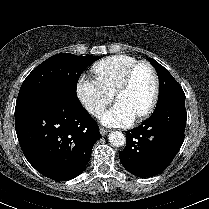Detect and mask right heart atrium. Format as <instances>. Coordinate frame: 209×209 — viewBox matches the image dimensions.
I'll list each match as a JSON object with an SVG mask.
<instances>
[{
    "instance_id": "obj_1",
    "label": "right heart atrium",
    "mask_w": 209,
    "mask_h": 209,
    "mask_svg": "<svg viewBox=\"0 0 209 209\" xmlns=\"http://www.w3.org/2000/svg\"><path fill=\"white\" fill-rule=\"evenodd\" d=\"M77 94L87 111L98 116L113 99L108 90L97 78L81 75L77 85Z\"/></svg>"
}]
</instances>
